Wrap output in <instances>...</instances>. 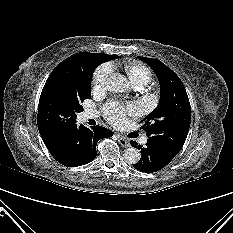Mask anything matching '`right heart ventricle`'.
Listing matches in <instances>:
<instances>
[{"label": "right heart ventricle", "mask_w": 233, "mask_h": 233, "mask_svg": "<svg viewBox=\"0 0 233 233\" xmlns=\"http://www.w3.org/2000/svg\"><path fill=\"white\" fill-rule=\"evenodd\" d=\"M126 72L133 85L141 84L144 86L150 82L152 76L150 70L141 64L128 65Z\"/></svg>", "instance_id": "e07e8e85"}]
</instances>
